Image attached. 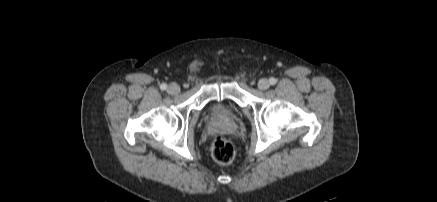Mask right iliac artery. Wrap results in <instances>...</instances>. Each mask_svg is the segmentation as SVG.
<instances>
[{"label": "right iliac artery", "instance_id": "1", "mask_svg": "<svg viewBox=\"0 0 437 202\" xmlns=\"http://www.w3.org/2000/svg\"><path fill=\"white\" fill-rule=\"evenodd\" d=\"M166 88H167V85H166L165 83H163V84L160 85V89H161V90H165Z\"/></svg>", "mask_w": 437, "mask_h": 202}]
</instances>
